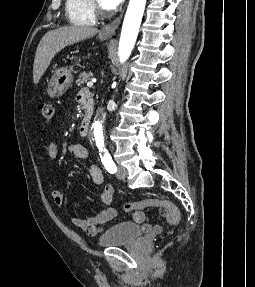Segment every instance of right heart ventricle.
Listing matches in <instances>:
<instances>
[{"mask_svg": "<svg viewBox=\"0 0 255 287\" xmlns=\"http://www.w3.org/2000/svg\"><path fill=\"white\" fill-rule=\"evenodd\" d=\"M77 33H99V32H77ZM89 39H108V38H89ZM98 48H108V47H98Z\"/></svg>", "mask_w": 255, "mask_h": 287, "instance_id": "obj_1", "label": "right heart ventricle"}]
</instances>
